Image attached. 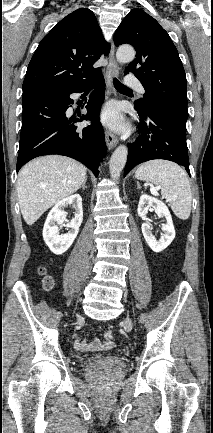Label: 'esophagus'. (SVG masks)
<instances>
[{"label": "esophagus", "mask_w": 213, "mask_h": 433, "mask_svg": "<svg viewBox=\"0 0 213 433\" xmlns=\"http://www.w3.org/2000/svg\"><path fill=\"white\" fill-rule=\"evenodd\" d=\"M118 73H119V67H118V64L115 60V46L112 43L111 50L109 53V64H108L106 75H105L107 96H110L112 93H114L112 81H113V78L118 75ZM105 137H106V143H107V146L109 149H112L117 145L118 139L113 134L112 131L106 130L105 131Z\"/></svg>", "instance_id": "1"}]
</instances>
